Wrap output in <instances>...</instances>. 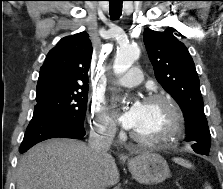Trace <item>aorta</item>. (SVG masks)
<instances>
[{
    "label": "aorta",
    "mask_w": 223,
    "mask_h": 189,
    "mask_svg": "<svg viewBox=\"0 0 223 189\" xmlns=\"http://www.w3.org/2000/svg\"><path fill=\"white\" fill-rule=\"evenodd\" d=\"M140 49L135 45H127L121 47L116 54L113 69L115 74L121 75L125 73L133 63L139 58Z\"/></svg>",
    "instance_id": "aorta-1"
}]
</instances>
